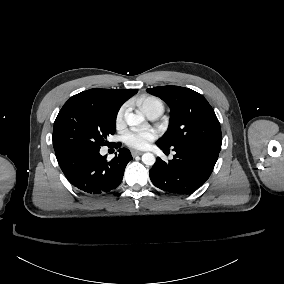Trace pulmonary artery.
I'll return each mask as SVG.
<instances>
[{"mask_svg":"<svg viewBox=\"0 0 284 284\" xmlns=\"http://www.w3.org/2000/svg\"><path fill=\"white\" fill-rule=\"evenodd\" d=\"M163 110L162 106L153 105L148 107V109L145 110V113L150 120H157L162 115Z\"/></svg>","mask_w":284,"mask_h":284,"instance_id":"e3ab8cb5","label":"pulmonary artery"}]
</instances>
